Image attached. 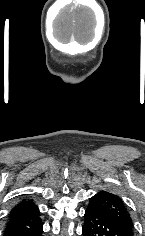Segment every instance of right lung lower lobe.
<instances>
[{
    "label": "right lung lower lobe",
    "mask_w": 145,
    "mask_h": 236,
    "mask_svg": "<svg viewBox=\"0 0 145 236\" xmlns=\"http://www.w3.org/2000/svg\"><path fill=\"white\" fill-rule=\"evenodd\" d=\"M43 225L37 207L9 216L4 236H42Z\"/></svg>",
    "instance_id": "obj_1"
}]
</instances>
